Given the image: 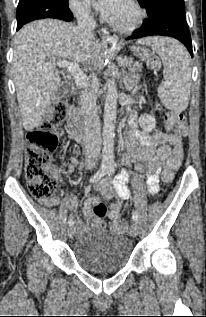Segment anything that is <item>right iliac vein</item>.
<instances>
[{
    "instance_id": "obj_1",
    "label": "right iliac vein",
    "mask_w": 206,
    "mask_h": 317,
    "mask_svg": "<svg viewBox=\"0 0 206 317\" xmlns=\"http://www.w3.org/2000/svg\"><path fill=\"white\" fill-rule=\"evenodd\" d=\"M75 233H76V228H75V226H70L69 228H68V236L70 237V238H72L74 235H75Z\"/></svg>"
}]
</instances>
